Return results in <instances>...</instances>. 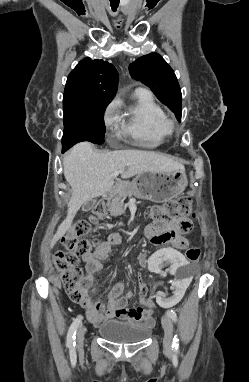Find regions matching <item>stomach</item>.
Segmentation results:
<instances>
[{"instance_id":"0dacf381","label":"stomach","mask_w":249,"mask_h":382,"mask_svg":"<svg viewBox=\"0 0 249 382\" xmlns=\"http://www.w3.org/2000/svg\"><path fill=\"white\" fill-rule=\"evenodd\" d=\"M188 185L184 170L171 173L142 172L131 183H122L119 189H129L136 198L155 203L167 202L180 195Z\"/></svg>"}]
</instances>
